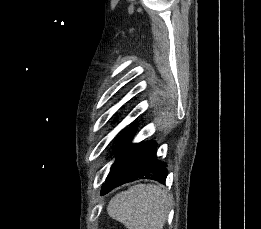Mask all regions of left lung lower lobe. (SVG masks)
Returning <instances> with one entry per match:
<instances>
[{
    "mask_svg": "<svg viewBox=\"0 0 261 229\" xmlns=\"http://www.w3.org/2000/svg\"><path fill=\"white\" fill-rule=\"evenodd\" d=\"M136 127L132 126L116 141V160L102 186V194L137 178L157 180L160 183L166 180L167 165L156 159V142L130 144Z\"/></svg>",
    "mask_w": 261,
    "mask_h": 229,
    "instance_id": "obj_1",
    "label": "left lung lower lobe"
}]
</instances>
